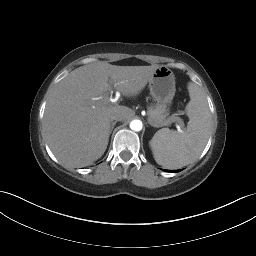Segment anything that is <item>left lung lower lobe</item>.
<instances>
[{"mask_svg":"<svg viewBox=\"0 0 256 256\" xmlns=\"http://www.w3.org/2000/svg\"><path fill=\"white\" fill-rule=\"evenodd\" d=\"M166 171H172V170H166ZM172 172H177V171H174V170H173Z\"/></svg>","mask_w":256,"mask_h":256,"instance_id":"left-lung-lower-lobe-1","label":"left lung lower lobe"}]
</instances>
